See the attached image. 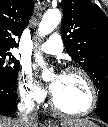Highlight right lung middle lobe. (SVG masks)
I'll return each instance as SVG.
<instances>
[{"label": "right lung middle lobe", "instance_id": "right-lung-middle-lobe-1", "mask_svg": "<svg viewBox=\"0 0 108 127\" xmlns=\"http://www.w3.org/2000/svg\"><path fill=\"white\" fill-rule=\"evenodd\" d=\"M19 62L8 51H0V79L7 82H16L19 71Z\"/></svg>", "mask_w": 108, "mask_h": 127}]
</instances>
